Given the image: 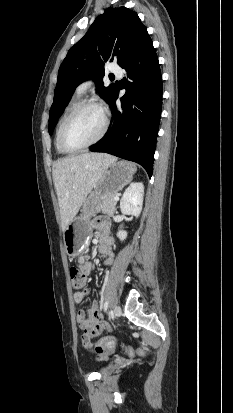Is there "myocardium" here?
Returning <instances> with one entry per match:
<instances>
[{"label":"myocardium","mask_w":233,"mask_h":413,"mask_svg":"<svg viewBox=\"0 0 233 413\" xmlns=\"http://www.w3.org/2000/svg\"><path fill=\"white\" fill-rule=\"evenodd\" d=\"M87 107H97L102 111V113H103V126H102V129H101V132L91 142H89L85 145L79 146V147H71L67 144V142L65 140L66 130H67L68 126L70 125V123L73 121V119L77 116V114L80 111H82L83 109L87 108ZM108 128H109V117H108L105 109L101 106V104H99L98 102L93 101V100L81 101L72 109V111L68 114V116L65 118L64 122L62 123L60 131H59V145H60L61 149L66 153H75V152L87 149V148L95 145L96 143H98L100 140H102L103 137L106 135V133L108 131Z\"/></svg>","instance_id":"obj_1"}]
</instances>
